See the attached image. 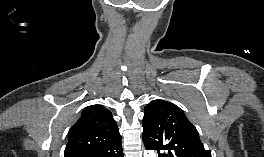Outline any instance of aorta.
I'll use <instances>...</instances> for the list:
<instances>
[{"mask_svg":"<svg viewBox=\"0 0 264 157\" xmlns=\"http://www.w3.org/2000/svg\"><path fill=\"white\" fill-rule=\"evenodd\" d=\"M146 157H155L153 152H147Z\"/></svg>","mask_w":264,"mask_h":157,"instance_id":"obj_1","label":"aorta"}]
</instances>
